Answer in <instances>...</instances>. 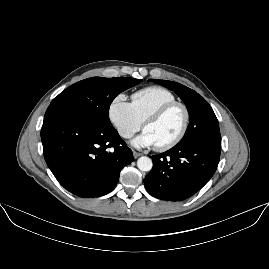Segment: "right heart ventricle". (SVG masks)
Instances as JSON below:
<instances>
[{
	"label": "right heart ventricle",
	"mask_w": 269,
	"mask_h": 269,
	"mask_svg": "<svg viewBox=\"0 0 269 269\" xmlns=\"http://www.w3.org/2000/svg\"><path fill=\"white\" fill-rule=\"evenodd\" d=\"M131 106L137 118L143 123L146 116L156 108L175 101V95L159 86L149 87L135 92L131 96Z\"/></svg>",
	"instance_id": "right-heart-ventricle-1"
}]
</instances>
